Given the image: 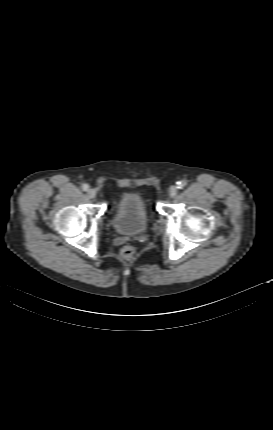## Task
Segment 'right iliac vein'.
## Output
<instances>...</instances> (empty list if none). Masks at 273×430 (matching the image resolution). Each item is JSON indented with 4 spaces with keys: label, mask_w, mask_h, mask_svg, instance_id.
<instances>
[{
    "label": "right iliac vein",
    "mask_w": 273,
    "mask_h": 430,
    "mask_svg": "<svg viewBox=\"0 0 273 430\" xmlns=\"http://www.w3.org/2000/svg\"><path fill=\"white\" fill-rule=\"evenodd\" d=\"M87 195H88V197L89 198H94L95 196H96V190L95 189H89L88 191H87Z\"/></svg>",
    "instance_id": "right-iliac-vein-1"
}]
</instances>
